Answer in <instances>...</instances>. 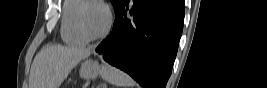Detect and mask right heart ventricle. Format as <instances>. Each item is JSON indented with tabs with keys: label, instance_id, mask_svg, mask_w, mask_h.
Returning a JSON list of instances; mask_svg holds the SVG:
<instances>
[{
	"label": "right heart ventricle",
	"instance_id": "e07e8e85",
	"mask_svg": "<svg viewBox=\"0 0 267 88\" xmlns=\"http://www.w3.org/2000/svg\"><path fill=\"white\" fill-rule=\"evenodd\" d=\"M88 0H68L63 5V20L61 26V36L65 43L69 45L81 46L88 41L82 37L77 26V12L79 7Z\"/></svg>",
	"mask_w": 267,
	"mask_h": 88
}]
</instances>
